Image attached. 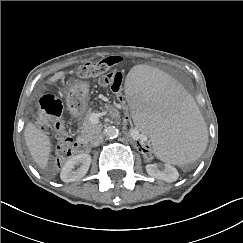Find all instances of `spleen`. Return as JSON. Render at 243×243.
I'll use <instances>...</instances> for the list:
<instances>
[{
  "label": "spleen",
  "instance_id": "obj_1",
  "mask_svg": "<svg viewBox=\"0 0 243 243\" xmlns=\"http://www.w3.org/2000/svg\"><path fill=\"white\" fill-rule=\"evenodd\" d=\"M124 94L160 159L179 165L203 152L207 128L193 92L183 81L154 67H140L127 76Z\"/></svg>",
  "mask_w": 243,
  "mask_h": 243
}]
</instances>
